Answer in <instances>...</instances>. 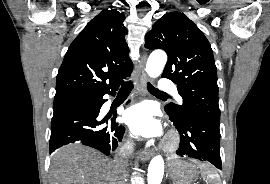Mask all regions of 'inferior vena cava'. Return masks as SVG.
<instances>
[{
  "label": "inferior vena cava",
  "mask_w": 270,
  "mask_h": 184,
  "mask_svg": "<svg viewBox=\"0 0 270 184\" xmlns=\"http://www.w3.org/2000/svg\"><path fill=\"white\" fill-rule=\"evenodd\" d=\"M134 143L131 141H126L122 144L116 151V157L113 160L115 167L118 169L119 173L125 171L127 167V160L131 150L133 149Z\"/></svg>",
  "instance_id": "602c4592"
}]
</instances>
